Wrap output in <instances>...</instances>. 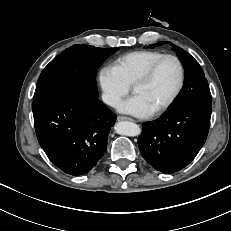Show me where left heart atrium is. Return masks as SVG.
I'll return each mask as SVG.
<instances>
[{"label":"left heart atrium","instance_id":"1","mask_svg":"<svg viewBox=\"0 0 231 231\" xmlns=\"http://www.w3.org/2000/svg\"><path fill=\"white\" fill-rule=\"evenodd\" d=\"M122 113L134 115L137 117H146L153 113V109L146 103L140 95H134L124 100L118 107Z\"/></svg>","mask_w":231,"mask_h":231}]
</instances>
